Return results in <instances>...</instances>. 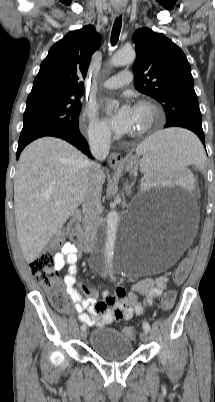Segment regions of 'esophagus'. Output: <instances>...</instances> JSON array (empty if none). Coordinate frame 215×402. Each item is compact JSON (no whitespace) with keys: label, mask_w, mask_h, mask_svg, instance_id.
<instances>
[{"label":"esophagus","mask_w":215,"mask_h":402,"mask_svg":"<svg viewBox=\"0 0 215 402\" xmlns=\"http://www.w3.org/2000/svg\"><path fill=\"white\" fill-rule=\"evenodd\" d=\"M122 10H116V14L117 15H120V14H122ZM122 160H123V158H122V156H121V154L120 153H118V152H112L111 154H110V156H109V165H110V167H112V168H118V167H120L121 165H122Z\"/></svg>","instance_id":"esophagus-1"}]
</instances>
